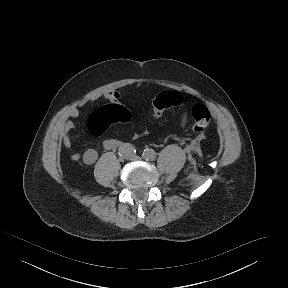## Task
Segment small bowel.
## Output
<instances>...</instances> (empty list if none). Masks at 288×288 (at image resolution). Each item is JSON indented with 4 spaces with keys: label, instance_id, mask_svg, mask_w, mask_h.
I'll return each mask as SVG.
<instances>
[{
    "label": "small bowel",
    "instance_id": "c3829d8e",
    "mask_svg": "<svg viewBox=\"0 0 288 288\" xmlns=\"http://www.w3.org/2000/svg\"><path fill=\"white\" fill-rule=\"evenodd\" d=\"M117 142L115 140H107L104 142V147L108 150L115 148ZM79 158V154H76ZM98 154L94 149H88L83 155V161L85 164L91 165L97 160Z\"/></svg>",
    "mask_w": 288,
    "mask_h": 288
}]
</instances>
